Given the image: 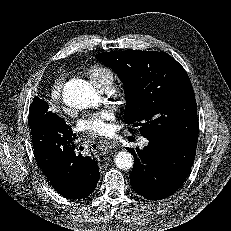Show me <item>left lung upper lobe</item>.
Wrapping results in <instances>:
<instances>
[{
  "mask_svg": "<svg viewBox=\"0 0 231 231\" xmlns=\"http://www.w3.org/2000/svg\"><path fill=\"white\" fill-rule=\"evenodd\" d=\"M95 57L120 77L127 101L126 123L142 136L175 142L197 137V105L185 69L165 52L128 49Z\"/></svg>",
  "mask_w": 231,
  "mask_h": 231,
  "instance_id": "left-lung-upper-lobe-1",
  "label": "left lung upper lobe"
}]
</instances>
